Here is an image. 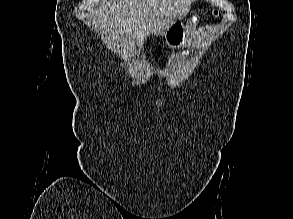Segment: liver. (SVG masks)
Masks as SVG:
<instances>
[{
  "label": "liver",
  "instance_id": "liver-1",
  "mask_svg": "<svg viewBox=\"0 0 293 219\" xmlns=\"http://www.w3.org/2000/svg\"><path fill=\"white\" fill-rule=\"evenodd\" d=\"M196 0H108L92 11L94 28L108 49L128 57L138 53L149 34L162 36L183 19Z\"/></svg>",
  "mask_w": 293,
  "mask_h": 219
}]
</instances>
